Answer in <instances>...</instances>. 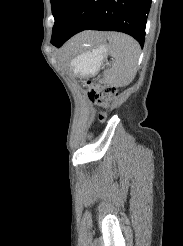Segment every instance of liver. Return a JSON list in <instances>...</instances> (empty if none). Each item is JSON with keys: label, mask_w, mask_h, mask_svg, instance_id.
<instances>
[{"label": "liver", "mask_w": 183, "mask_h": 246, "mask_svg": "<svg viewBox=\"0 0 183 246\" xmlns=\"http://www.w3.org/2000/svg\"><path fill=\"white\" fill-rule=\"evenodd\" d=\"M104 36L105 34L100 32H83L71 40L68 48L71 50L79 49L100 41Z\"/></svg>", "instance_id": "liver-1"}]
</instances>
